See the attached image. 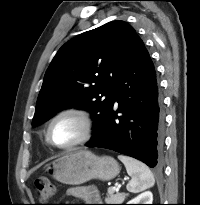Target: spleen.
I'll return each instance as SVG.
<instances>
[{"label":"spleen","mask_w":200,"mask_h":205,"mask_svg":"<svg viewBox=\"0 0 200 205\" xmlns=\"http://www.w3.org/2000/svg\"><path fill=\"white\" fill-rule=\"evenodd\" d=\"M118 159L125 165L127 173L131 176L126 186L129 192L138 193L154 185V176L146 164L124 155H119Z\"/></svg>","instance_id":"3e777b00"}]
</instances>
